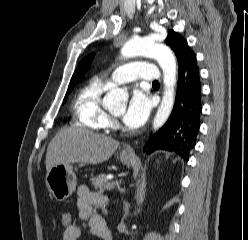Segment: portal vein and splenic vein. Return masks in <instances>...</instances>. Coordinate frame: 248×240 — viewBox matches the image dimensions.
I'll return each instance as SVG.
<instances>
[{"label":"portal vein and splenic vein","mask_w":248,"mask_h":240,"mask_svg":"<svg viewBox=\"0 0 248 240\" xmlns=\"http://www.w3.org/2000/svg\"><path fill=\"white\" fill-rule=\"evenodd\" d=\"M115 185H119V183H118V182H113L111 185H109V186L107 187V189H111V188H113Z\"/></svg>","instance_id":"1"}]
</instances>
